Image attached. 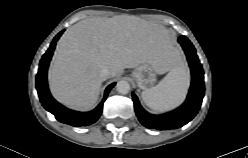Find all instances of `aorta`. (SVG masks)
Segmentation results:
<instances>
[{"instance_id": "obj_1", "label": "aorta", "mask_w": 248, "mask_h": 158, "mask_svg": "<svg viewBox=\"0 0 248 158\" xmlns=\"http://www.w3.org/2000/svg\"><path fill=\"white\" fill-rule=\"evenodd\" d=\"M116 90L120 94H127L130 91V84L125 80H121L116 84Z\"/></svg>"}]
</instances>
